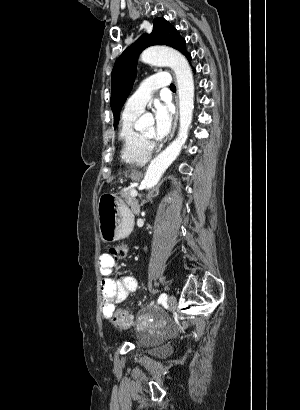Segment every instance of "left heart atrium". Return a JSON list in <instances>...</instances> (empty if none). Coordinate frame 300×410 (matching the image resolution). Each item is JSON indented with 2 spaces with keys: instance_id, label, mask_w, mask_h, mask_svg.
Listing matches in <instances>:
<instances>
[{
  "instance_id": "39dd6f15",
  "label": "left heart atrium",
  "mask_w": 300,
  "mask_h": 410,
  "mask_svg": "<svg viewBox=\"0 0 300 410\" xmlns=\"http://www.w3.org/2000/svg\"><path fill=\"white\" fill-rule=\"evenodd\" d=\"M154 118V137L156 140H162L169 134L172 125V114L169 106L163 103L155 104Z\"/></svg>"
}]
</instances>
